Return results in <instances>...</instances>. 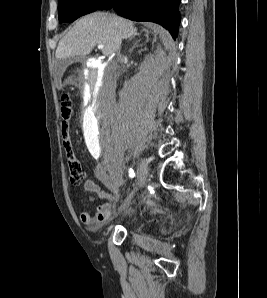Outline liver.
<instances>
[{
	"instance_id": "obj_1",
	"label": "liver",
	"mask_w": 267,
	"mask_h": 298,
	"mask_svg": "<svg viewBox=\"0 0 267 298\" xmlns=\"http://www.w3.org/2000/svg\"><path fill=\"white\" fill-rule=\"evenodd\" d=\"M134 33L131 21L106 12H94L79 19L60 40L55 56L58 60L84 57L99 44L104 45L103 55L111 56L120 49L122 40Z\"/></svg>"
}]
</instances>
